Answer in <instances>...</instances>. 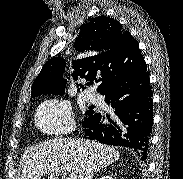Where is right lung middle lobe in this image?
I'll list each match as a JSON object with an SVG mask.
<instances>
[{
    "label": "right lung middle lobe",
    "instance_id": "obj_1",
    "mask_svg": "<svg viewBox=\"0 0 183 179\" xmlns=\"http://www.w3.org/2000/svg\"><path fill=\"white\" fill-rule=\"evenodd\" d=\"M90 109H92V108L90 107ZM93 113H94L93 110L87 111V112H86V115H87V116L84 118V120L87 119L89 116H91Z\"/></svg>",
    "mask_w": 183,
    "mask_h": 179
}]
</instances>
